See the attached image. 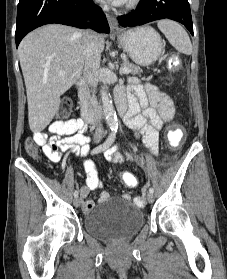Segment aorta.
<instances>
[{
  "label": "aorta",
  "mask_w": 227,
  "mask_h": 279,
  "mask_svg": "<svg viewBox=\"0 0 227 279\" xmlns=\"http://www.w3.org/2000/svg\"><path fill=\"white\" fill-rule=\"evenodd\" d=\"M101 99L103 104V113L106 123L111 129L118 128L117 115L111 100V95L108 92V86L104 84L101 90Z\"/></svg>",
  "instance_id": "762f6f07"
}]
</instances>
